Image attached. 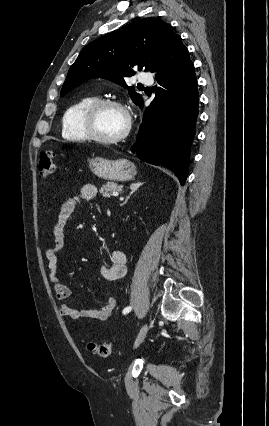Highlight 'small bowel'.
I'll use <instances>...</instances> for the list:
<instances>
[{
    "label": "small bowel",
    "instance_id": "small-bowel-1",
    "mask_svg": "<svg viewBox=\"0 0 269 426\" xmlns=\"http://www.w3.org/2000/svg\"><path fill=\"white\" fill-rule=\"evenodd\" d=\"M97 194L96 185L86 184L80 188L76 195L61 204L52 229L53 244L45 251L49 282L53 287L55 298L59 302V312L62 317L68 320L89 318L103 321L111 315L117 305L116 298L111 297L98 309L73 308L65 302L70 295V289L60 281L57 275L58 255L66 248L64 227L76 206L83 201L94 199ZM126 262V254L122 250L112 251L108 256L107 265L101 269L102 277L107 281H121L127 272Z\"/></svg>",
    "mask_w": 269,
    "mask_h": 426
}]
</instances>
